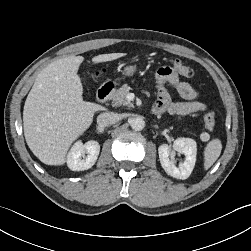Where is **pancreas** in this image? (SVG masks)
Here are the masks:
<instances>
[{
	"instance_id": "cf45deb5",
	"label": "pancreas",
	"mask_w": 251,
	"mask_h": 251,
	"mask_svg": "<svg viewBox=\"0 0 251 251\" xmlns=\"http://www.w3.org/2000/svg\"><path fill=\"white\" fill-rule=\"evenodd\" d=\"M130 89L131 88L127 84H124L121 88L114 91L111 96L113 105L114 106L126 105L129 107H133V104L127 99V95Z\"/></svg>"
}]
</instances>
